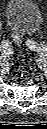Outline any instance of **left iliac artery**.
Returning a JSON list of instances; mask_svg holds the SVG:
<instances>
[{
	"mask_svg": "<svg viewBox=\"0 0 47 129\" xmlns=\"http://www.w3.org/2000/svg\"><path fill=\"white\" fill-rule=\"evenodd\" d=\"M31 45H32L31 47L36 49V50H47L46 45H40V44H37L35 42H33Z\"/></svg>",
	"mask_w": 47,
	"mask_h": 129,
	"instance_id": "obj_1",
	"label": "left iliac artery"
}]
</instances>
